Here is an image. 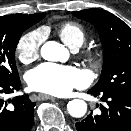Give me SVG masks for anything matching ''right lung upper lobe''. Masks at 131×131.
Segmentation results:
<instances>
[{
    "mask_svg": "<svg viewBox=\"0 0 131 131\" xmlns=\"http://www.w3.org/2000/svg\"><path fill=\"white\" fill-rule=\"evenodd\" d=\"M45 13H39V14H13V15H7L0 17V21L10 22L13 24H36L40 20H42L45 17Z\"/></svg>",
    "mask_w": 131,
    "mask_h": 131,
    "instance_id": "right-lung-upper-lobe-1",
    "label": "right lung upper lobe"
}]
</instances>
